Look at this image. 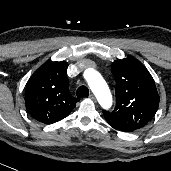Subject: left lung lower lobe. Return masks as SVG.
Returning <instances> with one entry per match:
<instances>
[{"mask_svg":"<svg viewBox=\"0 0 171 171\" xmlns=\"http://www.w3.org/2000/svg\"><path fill=\"white\" fill-rule=\"evenodd\" d=\"M123 132H132V131H130V130H125V131H123Z\"/></svg>","mask_w":171,"mask_h":171,"instance_id":"1","label":"left lung lower lobe"}]
</instances>
